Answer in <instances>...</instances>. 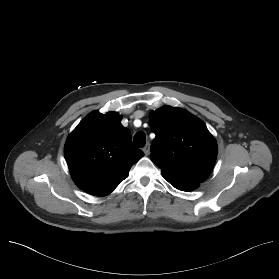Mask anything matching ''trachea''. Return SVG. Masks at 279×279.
<instances>
[{
  "label": "trachea",
  "mask_w": 279,
  "mask_h": 279,
  "mask_svg": "<svg viewBox=\"0 0 279 279\" xmlns=\"http://www.w3.org/2000/svg\"><path fill=\"white\" fill-rule=\"evenodd\" d=\"M134 145L136 147L142 148L145 146L146 143V136L144 132H138L135 134L133 139Z\"/></svg>",
  "instance_id": "obj_1"
}]
</instances>
